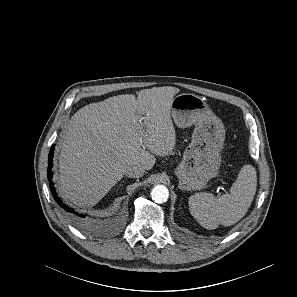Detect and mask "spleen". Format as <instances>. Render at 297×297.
Instances as JSON below:
<instances>
[{"label": "spleen", "mask_w": 297, "mask_h": 297, "mask_svg": "<svg viewBox=\"0 0 297 297\" xmlns=\"http://www.w3.org/2000/svg\"><path fill=\"white\" fill-rule=\"evenodd\" d=\"M256 187V169L246 164L241 168L230 193L219 198L205 192L191 196L190 213L207 229H215L219 224L231 226L246 215L254 199Z\"/></svg>", "instance_id": "obj_1"}]
</instances>
